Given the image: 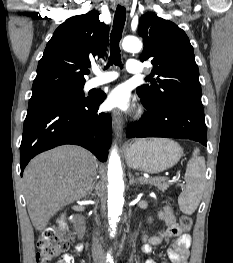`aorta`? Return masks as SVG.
Masks as SVG:
<instances>
[{"label": "aorta", "mask_w": 233, "mask_h": 263, "mask_svg": "<svg viewBox=\"0 0 233 263\" xmlns=\"http://www.w3.org/2000/svg\"><path fill=\"white\" fill-rule=\"evenodd\" d=\"M122 47L128 52H139L142 49L141 41L134 36H127L122 42ZM108 218L114 231L124 204V182L122 178L121 161L117 149L113 148L108 163Z\"/></svg>", "instance_id": "1"}]
</instances>
